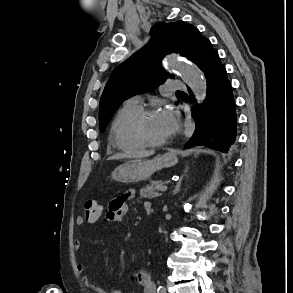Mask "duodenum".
<instances>
[{
	"label": "duodenum",
	"mask_w": 293,
	"mask_h": 293,
	"mask_svg": "<svg viewBox=\"0 0 293 293\" xmlns=\"http://www.w3.org/2000/svg\"><path fill=\"white\" fill-rule=\"evenodd\" d=\"M145 212H146V214L150 215L152 213V208L147 207Z\"/></svg>",
	"instance_id": "obj_1"
}]
</instances>
